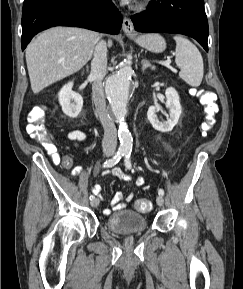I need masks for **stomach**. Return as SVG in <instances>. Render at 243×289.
Segmentation results:
<instances>
[{
    "mask_svg": "<svg viewBox=\"0 0 243 289\" xmlns=\"http://www.w3.org/2000/svg\"><path fill=\"white\" fill-rule=\"evenodd\" d=\"M134 41L153 53H161L166 49L165 39L157 33H149L133 37Z\"/></svg>",
    "mask_w": 243,
    "mask_h": 289,
    "instance_id": "stomach-1",
    "label": "stomach"
}]
</instances>
